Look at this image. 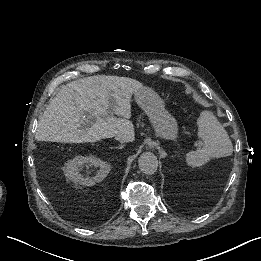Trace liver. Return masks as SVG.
<instances>
[{"instance_id":"6515ba94","label":"liver","mask_w":261,"mask_h":261,"mask_svg":"<svg viewBox=\"0 0 261 261\" xmlns=\"http://www.w3.org/2000/svg\"><path fill=\"white\" fill-rule=\"evenodd\" d=\"M142 89L136 80L115 76L88 77L62 86L39 119L36 140L70 144L125 137L133 142L132 96ZM111 105L121 118L109 115ZM85 122L92 125L84 127Z\"/></svg>"}]
</instances>
